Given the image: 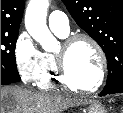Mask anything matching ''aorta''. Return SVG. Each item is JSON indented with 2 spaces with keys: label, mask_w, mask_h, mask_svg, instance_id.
<instances>
[{
  "label": "aorta",
  "mask_w": 123,
  "mask_h": 113,
  "mask_svg": "<svg viewBox=\"0 0 123 113\" xmlns=\"http://www.w3.org/2000/svg\"><path fill=\"white\" fill-rule=\"evenodd\" d=\"M48 7L49 0H30L25 13V27L45 51L53 52L58 43L46 23Z\"/></svg>",
  "instance_id": "1"
}]
</instances>
